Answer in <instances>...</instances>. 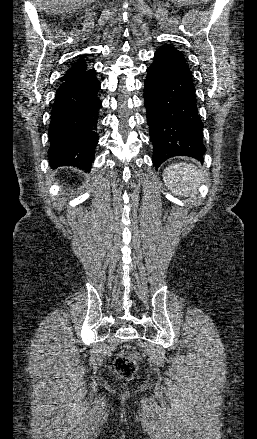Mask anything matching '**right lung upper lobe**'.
<instances>
[{
	"label": "right lung upper lobe",
	"mask_w": 257,
	"mask_h": 439,
	"mask_svg": "<svg viewBox=\"0 0 257 439\" xmlns=\"http://www.w3.org/2000/svg\"><path fill=\"white\" fill-rule=\"evenodd\" d=\"M87 69V65L86 63L82 60L79 59L77 62H75L71 68L66 72V74L63 76L62 81L74 78L80 74H82L83 72H85Z\"/></svg>",
	"instance_id": "cb5924a9"
}]
</instances>
